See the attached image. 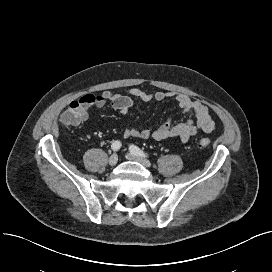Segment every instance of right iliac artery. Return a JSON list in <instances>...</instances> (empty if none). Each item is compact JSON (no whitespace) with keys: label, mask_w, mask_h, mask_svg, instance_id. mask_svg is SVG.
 Masks as SVG:
<instances>
[{"label":"right iliac artery","mask_w":272,"mask_h":272,"mask_svg":"<svg viewBox=\"0 0 272 272\" xmlns=\"http://www.w3.org/2000/svg\"><path fill=\"white\" fill-rule=\"evenodd\" d=\"M111 148L113 151H118L121 148V142L120 141H114L111 145Z\"/></svg>","instance_id":"82829eb1"}]
</instances>
